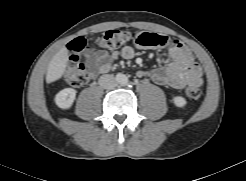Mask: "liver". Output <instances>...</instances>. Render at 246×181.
I'll return each instance as SVG.
<instances>
[{
  "instance_id": "1",
  "label": "liver",
  "mask_w": 246,
  "mask_h": 181,
  "mask_svg": "<svg viewBox=\"0 0 246 181\" xmlns=\"http://www.w3.org/2000/svg\"><path fill=\"white\" fill-rule=\"evenodd\" d=\"M68 64V51L66 48L59 50L51 59L47 74L46 82L52 83L59 80L65 73Z\"/></svg>"
}]
</instances>
